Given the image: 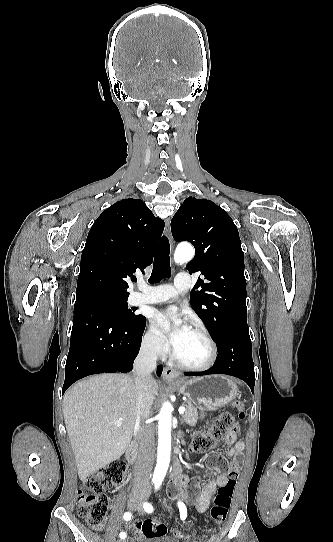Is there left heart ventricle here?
Masks as SVG:
<instances>
[{"label": "left heart ventricle", "mask_w": 333, "mask_h": 542, "mask_svg": "<svg viewBox=\"0 0 333 542\" xmlns=\"http://www.w3.org/2000/svg\"><path fill=\"white\" fill-rule=\"evenodd\" d=\"M171 351L179 360L191 365L205 364L210 357L209 344L192 328L179 338Z\"/></svg>", "instance_id": "left-heart-ventricle-1"}]
</instances>
